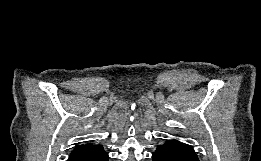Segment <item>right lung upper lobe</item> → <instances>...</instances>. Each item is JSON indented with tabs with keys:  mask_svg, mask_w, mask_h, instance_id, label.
<instances>
[{
	"mask_svg": "<svg viewBox=\"0 0 261 161\" xmlns=\"http://www.w3.org/2000/svg\"><path fill=\"white\" fill-rule=\"evenodd\" d=\"M88 145H90V144H85V145H77V146H76V148H83V147H86V146H88Z\"/></svg>",
	"mask_w": 261,
	"mask_h": 161,
	"instance_id": "obj_1",
	"label": "right lung upper lobe"
}]
</instances>
